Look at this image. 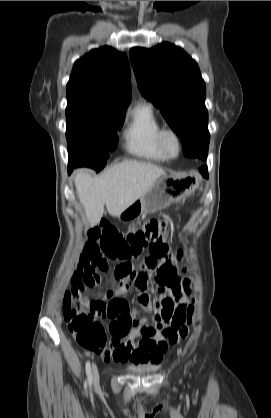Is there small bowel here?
<instances>
[{"instance_id":"1","label":"small bowel","mask_w":271,"mask_h":418,"mask_svg":"<svg viewBox=\"0 0 271 418\" xmlns=\"http://www.w3.org/2000/svg\"><path fill=\"white\" fill-rule=\"evenodd\" d=\"M147 254L131 262L119 261L113 267L111 289L102 290L98 299L83 300L81 306L90 314H97V323H105L108 328L109 344L96 351L105 362L124 363L131 361L135 365H157L161 362L167 346L162 330L166 322L162 317L165 309H186L189 282H179L176 276V260L167 254V247L161 241H153L147 247ZM167 254V255H166ZM102 267L98 262L94 265L97 285L100 272L107 269V260ZM117 279H116V278ZM129 283L136 287L138 302L144 312L155 313L152 325L141 326L140 319H133L135 306L127 295ZM155 283L158 294L151 302L148 287ZM88 283L83 281L79 288ZM144 330H148L145 333Z\"/></svg>"}]
</instances>
